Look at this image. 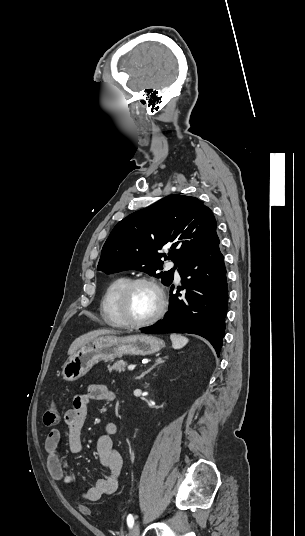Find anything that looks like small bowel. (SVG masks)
Segmentation results:
<instances>
[{"label": "small bowel", "mask_w": 305, "mask_h": 536, "mask_svg": "<svg viewBox=\"0 0 305 536\" xmlns=\"http://www.w3.org/2000/svg\"><path fill=\"white\" fill-rule=\"evenodd\" d=\"M115 398L113 391L102 384H91L87 393L77 394L73 398L72 406L64 415L66 426V442L70 452L79 453L82 450V429L87 414V403L90 399L99 401H112ZM114 423H108L105 433L97 439V455L101 465L107 473L103 477L95 478L94 485L80 490V497L92 502L98 501L102 496L114 494L119 486V480L123 469V457L115 448L112 435L116 433ZM61 433L58 429L49 430L44 443L46 453V467L55 480H63L64 483L75 488V477L66 473V461L60 455Z\"/></svg>", "instance_id": "c3829d8e"}]
</instances>
